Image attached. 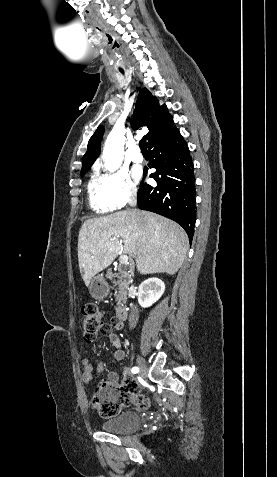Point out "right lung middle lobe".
<instances>
[{
  "label": "right lung middle lobe",
  "instance_id": "dd1d6c3e",
  "mask_svg": "<svg viewBox=\"0 0 277 477\" xmlns=\"http://www.w3.org/2000/svg\"><path fill=\"white\" fill-rule=\"evenodd\" d=\"M87 171L88 169L81 170V177H83Z\"/></svg>",
  "mask_w": 277,
  "mask_h": 477
}]
</instances>
